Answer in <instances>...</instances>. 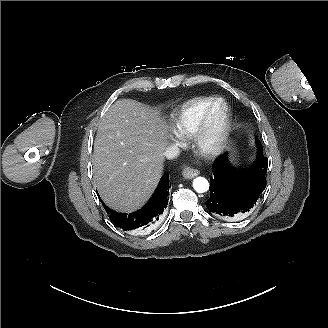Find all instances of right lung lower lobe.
<instances>
[{
    "instance_id": "98d812e1",
    "label": "right lung lower lobe",
    "mask_w": 328,
    "mask_h": 328,
    "mask_svg": "<svg viewBox=\"0 0 328 328\" xmlns=\"http://www.w3.org/2000/svg\"><path fill=\"white\" fill-rule=\"evenodd\" d=\"M169 175L165 174L151 199L138 211L126 214L104 208L113 223L124 231L135 229H146L150 223H155L161 217L163 210L167 207V197L169 193Z\"/></svg>"
}]
</instances>
